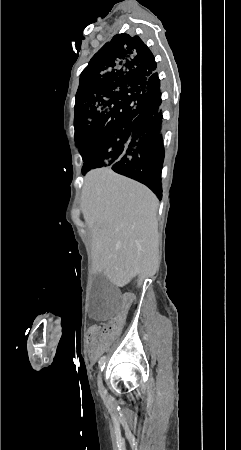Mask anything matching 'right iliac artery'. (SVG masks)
I'll use <instances>...</instances> for the list:
<instances>
[{"instance_id":"1","label":"right iliac artery","mask_w":241,"mask_h":450,"mask_svg":"<svg viewBox=\"0 0 241 450\" xmlns=\"http://www.w3.org/2000/svg\"><path fill=\"white\" fill-rule=\"evenodd\" d=\"M104 358L105 357L103 356L99 361V367H100L101 371L103 370V368L105 366Z\"/></svg>"}]
</instances>
